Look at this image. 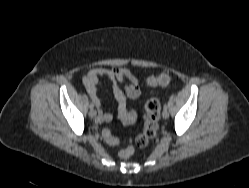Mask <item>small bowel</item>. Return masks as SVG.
I'll return each mask as SVG.
<instances>
[{"instance_id":"small-bowel-1","label":"small bowel","mask_w":249,"mask_h":188,"mask_svg":"<svg viewBox=\"0 0 249 188\" xmlns=\"http://www.w3.org/2000/svg\"><path fill=\"white\" fill-rule=\"evenodd\" d=\"M102 78L111 81L113 94L117 101L118 114L124 117L128 113L127 98L137 100L141 96L138 77L128 68L116 67L113 69L94 68L83 78L82 83L88 94L95 100L98 109L97 123L111 122L113 114L105 112L101 108V102L97 97V85Z\"/></svg>"}]
</instances>
